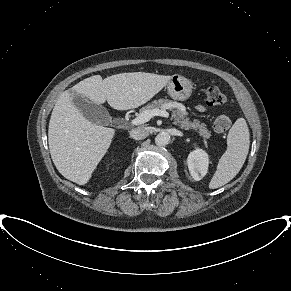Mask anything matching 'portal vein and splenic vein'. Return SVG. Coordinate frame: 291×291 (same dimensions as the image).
Here are the masks:
<instances>
[{
  "mask_svg": "<svg viewBox=\"0 0 291 291\" xmlns=\"http://www.w3.org/2000/svg\"><path fill=\"white\" fill-rule=\"evenodd\" d=\"M154 116H162L165 118L169 117V113L166 110L154 109L151 111H145L141 113L138 117L131 121L132 125H141L148 122Z\"/></svg>",
  "mask_w": 291,
  "mask_h": 291,
  "instance_id": "portal-vein-and-splenic-vein-1",
  "label": "portal vein and splenic vein"
}]
</instances>
